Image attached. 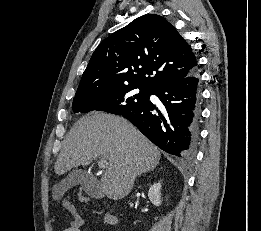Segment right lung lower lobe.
I'll return each instance as SVG.
<instances>
[{
    "label": "right lung lower lobe",
    "mask_w": 261,
    "mask_h": 231,
    "mask_svg": "<svg viewBox=\"0 0 261 231\" xmlns=\"http://www.w3.org/2000/svg\"><path fill=\"white\" fill-rule=\"evenodd\" d=\"M163 106L150 101L122 116L165 152L192 158L198 136L200 80L197 69L186 77L164 82L151 90Z\"/></svg>",
    "instance_id": "right-lung-lower-lobe-1"
}]
</instances>
